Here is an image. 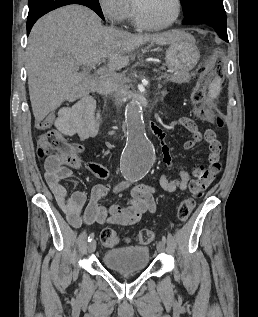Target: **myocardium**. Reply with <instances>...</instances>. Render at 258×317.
I'll list each match as a JSON object with an SVG mask.
<instances>
[{
	"instance_id": "1",
	"label": "myocardium",
	"mask_w": 258,
	"mask_h": 317,
	"mask_svg": "<svg viewBox=\"0 0 258 317\" xmlns=\"http://www.w3.org/2000/svg\"><path fill=\"white\" fill-rule=\"evenodd\" d=\"M151 1H153V0H139L134 5V21L139 28L146 30L148 32H156V31L165 30V29L171 27L173 24H175V22L178 20L180 13H181V3L179 0H171L176 6V12H175V15L171 21H169L168 23H166L164 25L158 26V27H152V28L145 27L141 21V18H140V10L145 3H148Z\"/></svg>"
}]
</instances>
